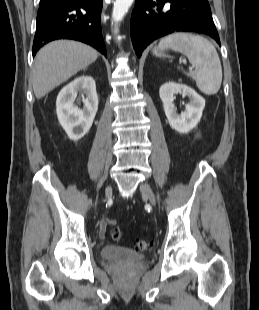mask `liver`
<instances>
[{"instance_id": "obj_1", "label": "liver", "mask_w": 259, "mask_h": 310, "mask_svg": "<svg viewBox=\"0 0 259 310\" xmlns=\"http://www.w3.org/2000/svg\"><path fill=\"white\" fill-rule=\"evenodd\" d=\"M97 57L94 48L77 41L58 40L45 45L35 57L32 81L36 98L45 96Z\"/></svg>"}]
</instances>
